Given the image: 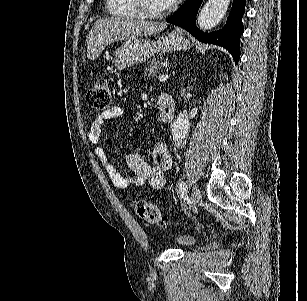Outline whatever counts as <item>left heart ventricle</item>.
Returning a JSON list of instances; mask_svg holds the SVG:
<instances>
[{
  "label": "left heart ventricle",
  "mask_w": 307,
  "mask_h": 301,
  "mask_svg": "<svg viewBox=\"0 0 307 301\" xmlns=\"http://www.w3.org/2000/svg\"><path fill=\"white\" fill-rule=\"evenodd\" d=\"M146 2L149 4L150 11H158L160 0H146Z\"/></svg>",
  "instance_id": "b2bd125f"
}]
</instances>
